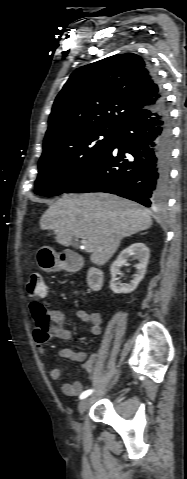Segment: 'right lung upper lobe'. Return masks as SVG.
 <instances>
[{
    "label": "right lung upper lobe",
    "instance_id": "cb5924a9",
    "mask_svg": "<svg viewBox=\"0 0 187 479\" xmlns=\"http://www.w3.org/2000/svg\"><path fill=\"white\" fill-rule=\"evenodd\" d=\"M162 94L137 54L107 57L74 71L56 97L44 145L93 128L120 129Z\"/></svg>",
    "mask_w": 187,
    "mask_h": 479
}]
</instances>
